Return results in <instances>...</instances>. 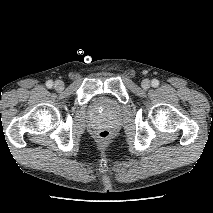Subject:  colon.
<instances>
[{
    "label": "colon",
    "instance_id": "5ec220e1",
    "mask_svg": "<svg viewBox=\"0 0 213 213\" xmlns=\"http://www.w3.org/2000/svg\"><path fill=\"white\" fill-rule=\"evenodd\" d=\"M110 132L107 130H101L97 133V138L101 142H107L110 139Z\"/></svg>",
    "mask_w": 213,
    "mask_h": 213
}]
</instances>
